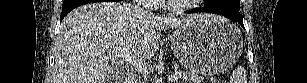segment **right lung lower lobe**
<instances>
[{
  "label": "right lung lower lobe",
  "mask_w": 307,
  "mask_h": 83,
  "mask_svg": "<svg viewBox=\"0 0 307 83\" xmlns=\"http://www.w3.org/2000/svg\"><path fill=\"white\" fill-rule=\"evenodd\" d=\"M93 0H64L63 2V6H62V14L60 19L62 20V18L67 15L71 10H73L74 8L82 5V4H86L89 3ZM96 2V1H94Z\"/></svg>",
  "instance_id": "98d812e1"
}]
</instances>
